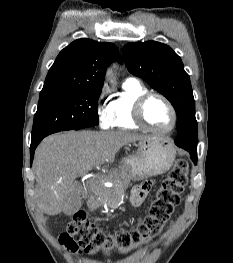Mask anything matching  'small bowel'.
I'll use <instances>...</instances> for the list:
<instances>
[{
  "instance_id": "1",
  "label": "small bowel",
  "mask_w": 233,
  "mask_h": 263,
  "mask_svg": "<svg viewBox=\"0 0 233 263\" xmlns=\"http://www.w3.org/2000/svg\"><path fill=\"white\" fill-rule=\"evenodd\" d=\"M151 182H145L143 184H140L136 187H134L132 194H131V202L135 206H139L142 204L144 199L146 198L150 188H151Z\"/></svg>"
}]
</instances>
